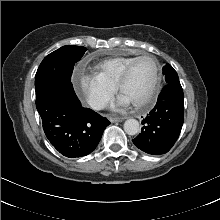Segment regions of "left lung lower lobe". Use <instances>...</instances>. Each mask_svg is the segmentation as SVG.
Segmentation results:
<instances>
[{
    "mask_svg": "<svg viewBox=\"0 0 220 220\" xmlns=\"http://www.w3.org/2000/svg\"><path fill=\"white\" fill-rule=\"evenodd\" d=\"M183 98L179 81L162 89L155 107L142 121L141 133L133 140L136 147L153 155L167 153L173 147L184 121Z\"/></svg>",
    "mask_w": 220,
    "mask_h": 220,
    "instance_id": "left-lung-lower-lobe-1",
    "label": "left lung lower lobe"
}]
</instances>
